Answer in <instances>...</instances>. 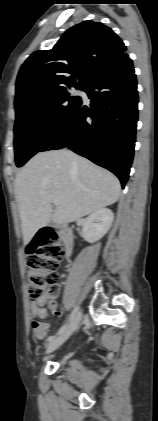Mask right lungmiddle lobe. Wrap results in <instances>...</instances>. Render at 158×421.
<instances>
[{
    "mask_svg": "<svg viewBox=\"0 0 158 421\" xmlns=\"http://www.w3.org/2000/svg\"><path fill=\"white\" fill-rule=\"evenodd\" d=\"M82 89L83 87H76ZM81 102L68 88L40 93L15 104V161L23 166L50 140Z\"/></svg>",
    "mask_w": 158,
    "mask_h": 421,
    "instance_id": "dd1d6c3e",
    "label": "right lung middle lobe"
}]
</instances>
